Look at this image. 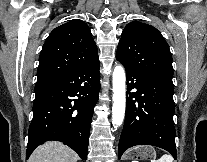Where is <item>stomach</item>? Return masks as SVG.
I'll use <instances>...</instances> for the list:
<instances>
[{
    "label": "stomach",
    "mask_w": 207,
    "mask_h": 162,
    "mask_svg": "<svg viewBox=\"0 0 207 162\" xmlns=\"http://www.w3.org/2000/svg\"><path fill=\"white\" fill-rule=\"evenodd\" d=\"M136 157L141 160L153 159L156 157V151L152 146L143 145L135 147L132 151L128 152L127 158Z\"/></svg>",
    "instance_id": "obj_1"
}]
</instances>
